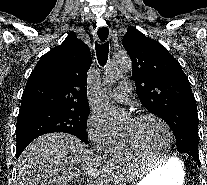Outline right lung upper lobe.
Instances as JSON below:
<instances>
[{
  "instance_id": "cb5924a9",
  "label": "right lung upper lobe",
  "mask_w": 207,
  "mask_h": 185,
  "mask_svg": "<svg viewBox=\"0 0 207 185\" xmlns=\"http://www.w3.org/2000/svg\"><path fill=\"white\" fill-rule=\"evenodd\" d=\"M90 65L88 46L69 34L36 64L22 94L20 111L32 108L89 111L86 74Z\"/></svg>"
}]
</instances>
